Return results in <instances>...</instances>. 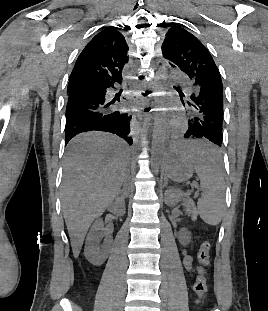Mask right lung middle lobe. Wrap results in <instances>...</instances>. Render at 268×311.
<instances>
[{"label":"right lung middle lobe","mask_w":268,"mask_h":311,"mask_svg":"<svg viewBox=\"0 0 268 311\" xmlns=\"http://www.w3.org/2000/svg\"><path fill=\"white\" fill-rule=\"evenodd\" d=\"M73 89H82V90L94 91L96 88H95V85H91V84H78V85H75L71 88H68L67 92L69 93V91H71Z\"/></svg>","instance_id":"dd1d6c3e"}]
</instances>
